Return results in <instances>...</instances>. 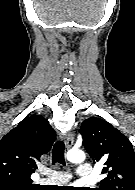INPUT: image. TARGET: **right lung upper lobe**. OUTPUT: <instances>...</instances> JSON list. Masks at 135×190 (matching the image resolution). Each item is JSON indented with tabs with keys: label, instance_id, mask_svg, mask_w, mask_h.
Here are the masks:
<instances>
[{
	"label": "right lung upper lobe",
	"instance_id": "obj_1",
	"mask_svg": "<svg viewBox=\"0 0 135 190\" xmlns=\"http://www.w3.org/2000/svg\"><path fill=\"white\" fill-rule=\"evenodd\" d=\"M55 139L43 116L22 120L0 140V184L34 185L30 176L37 169L36 161L51 149Z\"/></svg>",
	"mask_w": 135,
	"mask_h": 190
}]
</instances>
